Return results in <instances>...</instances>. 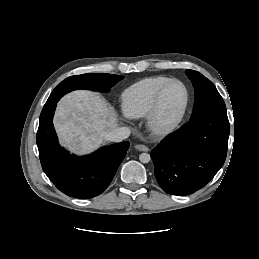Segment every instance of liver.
I'll return each mask as SVG.
<instances>
[{"mask_svg":"<svg viewBox=\"0 0 259 259\" xmlns=\"http://www.w3.org/2000/svg\"><path fill=\"white\" fill-rule=\"evenodd\" d=\"M54 126L61 145L76 154H89L117 128V115L98 93L79 90L59 101Z\"/></svg>","mask_w":259,"mask_h":259,"instance_id":"1","label":"liver"}]
</instances>
